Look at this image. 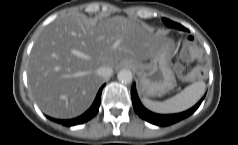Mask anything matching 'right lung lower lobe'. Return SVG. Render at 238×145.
<instances>
[{
	"label": "right lung lower lobe",
	"mask_w": 238,
	"mask_h": 145,
	"mask_svg": "<svg viewBox=\"0 0 238 145\" xmlns=\"http://www.w3.org/2000/svg\"><path fill=\"white\" fill-rule=\"evenodd\" d=\"M103 87H104V85L99 89L97 96L95 98V101L92 104V106L90 107V109L87 112H85L83 115H81L77 118L71 119V120H59V119H53V118H50V120H53L59 124L65 125V126H74V125L82 124V123L89 121L97 114V112L99 110V106H100V102H101V93H102Z\"/></svg>",
	"instance_id": "1"
}]
</instances>
